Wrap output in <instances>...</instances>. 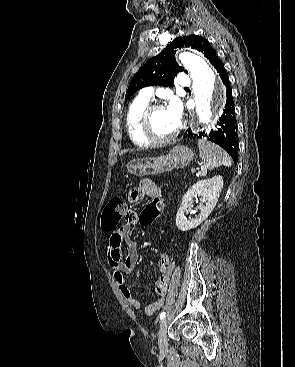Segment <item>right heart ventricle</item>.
Here are the masks:
<instances>
[{
	"mask_svg": "<svg viewBox=\"0 0 295 367\" xmlns=\"http://www.w3.org/2000/svg\"><path fill=\"white\" fill-rule=\"evenodd\" d=\"M149 103L150 100L142 99L138 96L130 103L126 112L125 124L128 135L131 141L140 148H146L151 145V143L142 136L139 127L141 115Z\"/></svg>",
	"mask_w": 295,
	"mask_h": 367,
	"instance_id": "1",
	"label": "right heart ventricle"
}]
</instances>
